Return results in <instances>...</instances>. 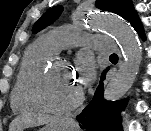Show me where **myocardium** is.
I'll use <instances>...</instances> for the list:
<instances>
[{
	"label": "myocardium",
	"instance_id": "myocardium-1",
	"mask_svg": "<svg viewBox=\"0 0 151 131\" xmlns=\"http://www.w3.org/2000/svg\"><path fill=\"white\" fill-rule=\"evenodd\" d=\"M57 64L68 66L66 60L59 56L52 55L36 68L28 85V94L35 107L41 111L52 114H62L74 110L82 103L84 97L83 90L81 89L72 100L62 105H52L44 99L41 92V83L48 72Z\"/></svg>",
	"mask_w": 151,
	"mask_h": 131
}]
</instances>
